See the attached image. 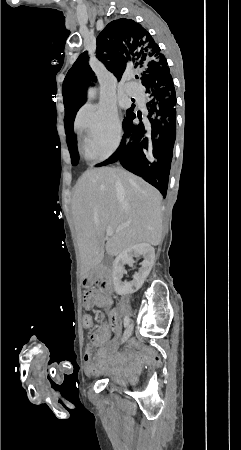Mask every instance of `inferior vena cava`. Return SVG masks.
Returning a JSON list of instances; mask_svg holds the SVG:
<instances>
[{"instance_id": "1", "label": "inferior vena cava", "mask_w": 241, "mask_h": 450, "mask_svg": "<svg viewBox=\"0 0 241 450\" xmlns=\"http://www.w3.org/2000/svg\"><path fill=\"white\" fill-rule=\"evenodd\" d=\"M115 186H116V190H122V184H121L120 180H118V178L116 180Z\"/></svg>"}]
</instances>
